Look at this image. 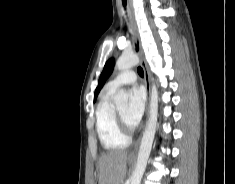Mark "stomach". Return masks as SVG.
<instances>
[{
	"mask_svg": "<svg viewBox=\"0 0 235 184\" xmlns=\"http://www.w3.org/2000/svg\"><path fill=\"white\" fill-rule=\"evenodd\" d=\"M128 162H129V164H131V162H132V160H130L129 156H128Z\"/></svg>",
	"mask_w": 235,
	"mask_h": 184,
	"instance_id": "stomach-1",
	"label": "stomach"
}]
</instances>
